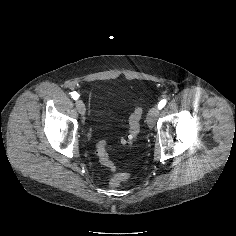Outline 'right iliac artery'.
<instances>
[{"label": "right iliac artery", "instance_id": "right-iliac-artery-1", "mask_svg": "<svg viewBox=\"0 0 236 236\" xmlns=\"http://www.w3.org/2000/svg\"><path fill=\"white\" fill-rule=\"evenodd\" d=\"M71 96H72V98H73L74 100H77L78 97H79V95H78L77 92H72Z\"/></svg>", "mask_w": 236, "mask_h": 236}]
</instances>
